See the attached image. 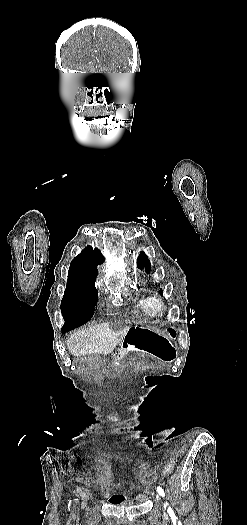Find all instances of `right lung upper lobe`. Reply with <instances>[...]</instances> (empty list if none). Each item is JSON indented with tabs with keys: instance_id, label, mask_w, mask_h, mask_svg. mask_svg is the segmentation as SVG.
<instances>
[{
	"instance_id": "1",
	"label": "right lung upper lobe",
	"mask_w": 247,
	"mask_h": 525,
	"mask_svg": "<svg viewBox=\"0 0 247 525\" xmlns=\"http://www.w3.org/2000/svg\"><path fill=\"white\" fill-rule=\"evenodd\" d=\"M104 260L105 258L97 248L93 250L91 246H87L72 260L69 273H85L97 276V266L102 264Z\"/></svg>"
}]
</instances>
